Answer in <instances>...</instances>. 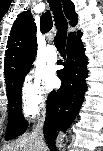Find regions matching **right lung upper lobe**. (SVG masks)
<instances>
[{"instance_id":"cb5924a9","label":"right lung upper lobe","mask_w":103,"mask_h":151,"mask_svg":"<svg viewBox=\"0 0 103 151\" xmlns=\"http://www.w3.org/2000/svg\"><path fill=\"white\" fill-rule=\"evenodd\" d=\"M62 2L64 13L70 25L75 26L78 18L73 3L70 0H62ZM51 28L50 15L45 13L40 19V31L48 32ZM36 31V24L30 10L20 13L10 31L5 52L4 74L6 87H9L30 69L37 52ZM73 35H76V33H69L68 39Z\"/></svg>"}]
</instances>
